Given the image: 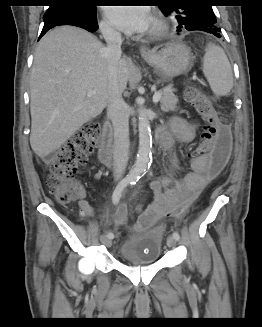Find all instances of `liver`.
<instances>
[{
    "label": "liver",
    "mask_w": 262,
    "mask_h": 327,
    "mask_svg": "<svg viewBox=\"0 0 262 327\" xmlns=\"http://www.w3.org/2000/svg\"><path fill=\"white\" fill-rule=\"evenodd\" d=\"M128 78L129 63L123 57L116 75L120 93ZM30 93V145L44 159L108 105L110 81L104 45L76 27L48 32L35 52Z\"/></svg>",
    "instance_id": "liver-1"
}]
</instances>
